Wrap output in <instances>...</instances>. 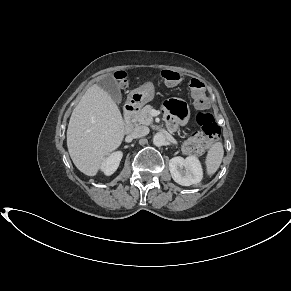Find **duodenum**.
Returning a JSON list of instances; mask_svg holds the SVG:
<instances>
[{"mask_svg":"<svg viewBox=\"0 0 291 291\" xmlns=\"http://www.w3.org/2000/svg\"><path fill=\"white\" fill-rule=\"evenodd\" d=\"M138 106L135 103H128L124 108L125 129L129 131L132 127V118L136 114Z\"/></svg>","mask_w":291,"mask_h":291,"instance_id":"duodenum-1","label":"duodenum"}]
</instances>
